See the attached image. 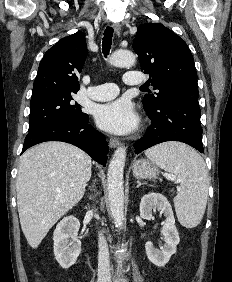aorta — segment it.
I'll return each instance as SVG.
<instances>
[{"mask_svg": "<svg viewBox=\"0 0 232 282\" xmlns=\"http://www.w3.org/2000/svg\"><path fill=\"white\" fill-rule=\"evenodd\" d=\"M134 54L128 50H117L110 57V63L116 67H130L135 63ZM126 160V148L119 147L113 154L108 168L107 184L111 215L117 226L124 221V181L123 173Z\"/></svg>", "mask_w": 232, "mask_h": 282, "instance_id": "obj_1", "label": "aorta"}]
</instances>
